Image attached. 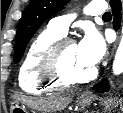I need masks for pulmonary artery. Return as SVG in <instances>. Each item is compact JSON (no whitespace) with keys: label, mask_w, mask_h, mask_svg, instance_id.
<instances>
[{"label":"pulmonary artery","mask_w":123,"mask_h":113,"mask_svg":"<svg viewBox=\"0 0 123 113\" xmlns=\"http://www.w3.org/2000/svg\"><path fill=\"white\" fill-rule=\"evenodd\" d=\"M106 10L105 1H92L84 9L87 15H99L103 14ZM74 19V15H63L58 16L50 20L49 27L62 33L66 34L71 21Z\"/></svg>","instance_id":"1"}]
</instances>
